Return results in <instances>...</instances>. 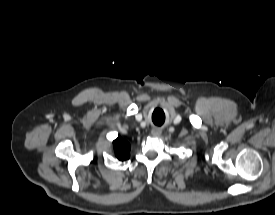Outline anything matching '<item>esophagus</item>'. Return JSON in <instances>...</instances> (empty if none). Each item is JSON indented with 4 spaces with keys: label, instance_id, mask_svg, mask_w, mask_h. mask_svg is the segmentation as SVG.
Masks as SVG:
<instances>
[{
    "label": "esophagus",
    "instance_id": "esophagus-1",
    "mask_svg": "<svg viewBox=\"0 0 275 215\" xmlns=\"http://www.w3.org/2000/svg\"><path fill=\"white\" fill-rule=\"evenodd\" d=\"M151 134H152V136H154V137H158V136H160V134H161V130H160L159 128H157V127H154V128L151 130Z\"/></svg>",
    "mask_w": 275,
    "mask_h": 215
}]
</instances>
